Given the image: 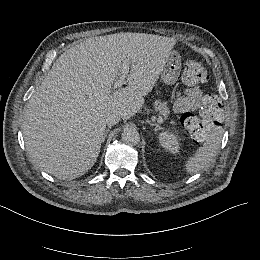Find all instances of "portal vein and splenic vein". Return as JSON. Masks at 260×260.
<instances>
[{"instance_id":"obj_1","label":"portal vein and splenic vein","mask_w":260,"mask_h":260,"mask_svg":"<svg viewBox=\"0 0 260 260\" xmlns=\"http://www.w3.org/2000/svg\"><path fill=\"white\" fill-rule=\"evenodd\" d=\"M129 72H130V70H129L128 66L123 67V69L120 71V76L115 81V85H114L115 88H119L120 86H122L124 84V81L129 76ZM155 120L158 121L159 124L164 123L162 116H156Z\"/></svg>"}]
</instances>
